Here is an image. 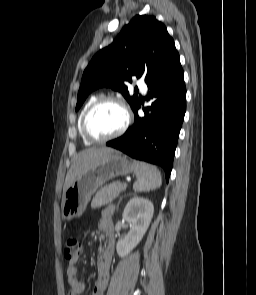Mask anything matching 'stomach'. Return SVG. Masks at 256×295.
Returning <instances> with one entry per match:
<instances>
[{
  "label": "stomach",
  "instance_id": "stomach-1",
  "mask_svg": "<svg viewBox=\"0 0 256 295\" xmlns=\"http://www.w3.org/2000/svg\"><path fill=\"white\" fill-rule=\"evenodd\" d=\"M134 172V165L119 153L108 154L79 176L64 192L62 218L80 217L95 191L106 181Z\"/></svg>",
  "mask_w": 256,
  "mask_h": 295
}]
</instances>
